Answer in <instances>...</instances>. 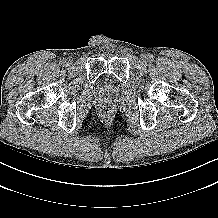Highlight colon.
Listing matches in <instances>:
<instances>
[{
	"label": "colon",
	"mask_w": 218,
	"mask_h": 218,
	"mask_svg": "<svg viewBox=\"0 0 218 218\" xmlns=\"http://www.w3.org/2000/svg\"><path fill=\"white\" fill-rule=\"evenodd\" d=\"M109 114H110V111H109L108 109H103V110H102V115H103L104 117H108Z\"/></svg>",
	"instance_id": "1"
}]
</instances>
